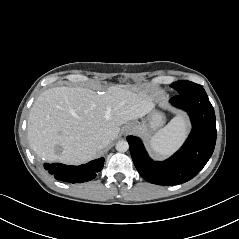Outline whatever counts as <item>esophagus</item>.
I'll return each mask as SVG.
<instances>
[{
	"instance_id": "1",
	"label": "esophagus",
	"mask_w": 239,
	"mask_h": 239,
	"mask_svg": "<svg viewBox=\"0 0 239 239\" xmlns=\"http://www.w3.org/2000/svg\"><path fill=\"white\" fill-rule=\"evenodd\" d=\"M132 129H133L132 127H128V130H127V131H132Z\"/></svg>"
}]
</instances>
